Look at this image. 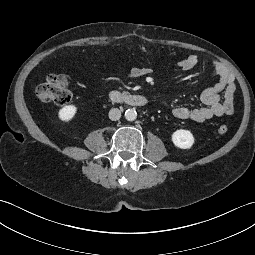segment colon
<instances>
[{
	"label": "colon",
	"instance_id": "colon-1",
	"mask_svg": "<svg viewBox=\"0 0 255 255\" xmlns=\"http://www.w3.org/2000/svg\"><path fill=\"white\" fill-rule=\"evenodd\" d=\"M35 94L42 102L57 105H67L72 100V94L65 77L56 73L48 75L45 81L36 87ZM227 131L228 127L226 125L218 127L220 134H225Z\"/></svg>",
	"mask_w": 255,
	"mask_h": 255
}]
</instances>
